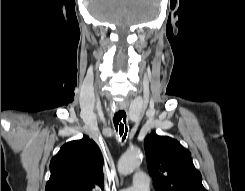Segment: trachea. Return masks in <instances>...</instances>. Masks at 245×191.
Returning <instances> with one entry per match:
<instances>
[{
	"label": "trachea",
	"mask_w": 245,
	"mask_h": 191,
	"mask_svg": "<svg viewBox=\"0 0 245 191\" xmlns=\"http://www.w3.org/2000/svg\"><path fill=\"white\" fill-rule=\"evenodd\" d=\"M126 117V112L124 110H119L115 113L113 118L115 129L119 132V135L122 140L126 139L128 132Z\"/></svg>",
	"instance_id": "trachea-1"
}]
</instances>
